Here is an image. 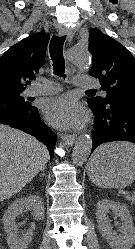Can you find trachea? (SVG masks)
<instances>
[{
  "instance_id": "1",
  "label": "trachea",
  "mask_w": 135,
  "mask_h": 249,
  "mask_svg": "<svg viewBox=\"0 0 135 249\" xmlns=\"http://www.w3.org/2000/svg\"><path fill=\"white\" fill-rule=\"evenodd\" d=\"M66 40V36H53L49 46L50 56L53 62L54 74L58 76H64L65 61L63 58V45ZM88 91H95L93 89Z\"/></svg>"
}]
</instances>
